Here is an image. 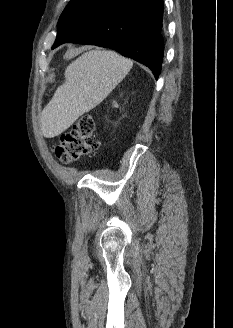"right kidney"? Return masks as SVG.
<instances>
[{"instance_id": "1", "label": "right kidney", "mask_w": 233, "mask_h": 328, "mask_svg": "<svg viewBox=\"0 0 233 328\" xmlns=\"http://www.w3.org/2000/svg\"><path fill=\"white\" fill-rule=\"evenodd\" d=\"M114 107H118L117 103H114Z\"/></svg>"}]
</instances>
